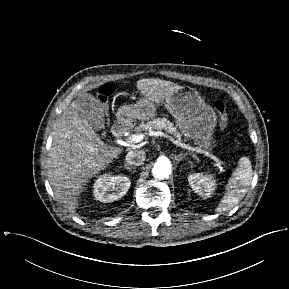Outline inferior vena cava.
Masks as SVG:
<instances>
[{
	"mask_svg": "<svg viewBox=\"0 0 289 289\" xmlns=\"http://www.w3.org/2000/svg\"><path fill=\"white\" fill-rule=\"evenodd\" d=\"M146 159L145 152L143 150H131L126 155V162L129 165L140 166Z\"/></svg>",
	"mask_w": 289,
	"mask_h": 289,
	"instance_id": "602c4592",
	"label": "inferior vena cava"
}]
</instances>
